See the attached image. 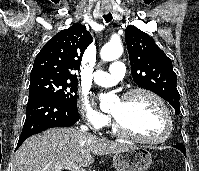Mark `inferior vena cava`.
I'll use <instances>...</instances> for the list:
<instances>
[{
  "label": "inferior vena cava",
  "instance_id": "602c4592",
  "mask_svg": "<svg viewBox=\"0 0 199 171\" xmlns=\"http://www.w3.org/2000/svg\"><path fill=\"white\" fill-rule=\"evenodd\" d=\"M81 130H82V131H86V130H87V127H86V126H81Z\"/></svg>",
  "mask_w": 199,
  "mask_h": 171
}]
</instances>
